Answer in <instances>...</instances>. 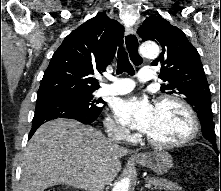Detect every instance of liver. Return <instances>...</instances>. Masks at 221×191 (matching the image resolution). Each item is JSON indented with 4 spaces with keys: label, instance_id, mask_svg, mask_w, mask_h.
<instances>
[{
    "label": "liver",
    "instance_id": "1",
    "mask_svg": "<svg viewBox=\"0 0 221 191\" xmlns=\"http://www.w3.org/2000/svg\"><path fill=\"white\" fill-rule=\"evenodd\" d=\"M129 150L112 144L99 130L72 119L49 121L35 132L21 164V191H44L67 184L90 189L94 180L111 183Z\"/></svg>",
    "mask_w": 221,
    "mask_h": 191
}]
</instances>
